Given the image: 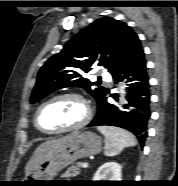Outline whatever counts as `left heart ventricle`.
I'll return each mask as SVG.
<instances>
[{
  "label": "left heart ventricle",
  "mask_w": 178,
  "mask_h": 186,
  "mask_svg": "<svg viewBox=\"0 0 178 186\" xmlns=\"http://www.w3.org/2000/svg\"><path fill=\"white\" fill-rule=\"evenodd\" d=\"M84 116V107L75 98H62L46 105L40 114V124L48 131L77 124Z\"/></svg>",
  "instance_id": "1"
}]
</instances>
